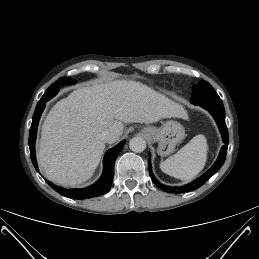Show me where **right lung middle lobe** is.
I'll list each match as a JSON object with an SVG mask.
<instances>
[{
	"label": "right lung middle lobe",
	"instance_id": "obj_1",
	"mask_svg": "<svg viewBox=\"0 0 259 259\" xmlns=\"http://www.w3.org/2000/svg\"><path fill=\"white\" fill-rule=\"evenodd\" d=\"M61 81L63 83L71 84L74 82L71 78H62ZM58 91V83H53L50 85V87L47 89V91L44 93L42 98L39 100V102H47L49 99H51Z\"/></svg>",
	"mask_w": 259,
	"mask_h": 259
}]
</instances>
